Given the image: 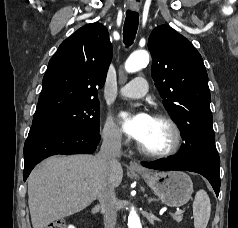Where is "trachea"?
Here are the masks:
<instances>
[{"label": "trachea", "mask_w": 238, "mask_h": 228, "mask_svg": "<svg viewBox=\"0 0 238 228\" xmlns=\"http://www.w3.org/2000/svg\"><path fill=\"white\" fill-rule=\"evenodd\" d=\"M139 24V14L128 10L126 12V18L123 28V41L126 46L132 45L135 35L137 33Z\"/></svg>", "instance_id": "3493384b"}]
</instances>
